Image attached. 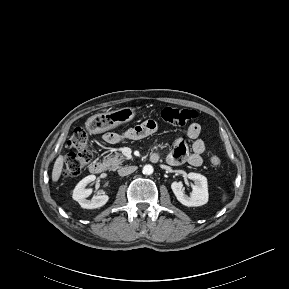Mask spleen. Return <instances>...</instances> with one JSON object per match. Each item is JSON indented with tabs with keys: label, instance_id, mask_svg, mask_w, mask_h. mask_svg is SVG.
Returning a JSON list of instances; mask_svg holds the SVG:
<instances>
[{
	"label": "spleen",
	"instance_id": "3e777b00",
	"mask_svg": "<svg viewBox=\"0 0 289 289\" xmlns=\"http://www.w3.org/2000/svg\"><path fill=\"white\" fill-rule=\"evenodd\" d=\"M227 199V195L224 193L223 196H222V202H225Z\"/></svg>",
	"mask_w": 289,
	"mask_h": 289
}]
</instances>
